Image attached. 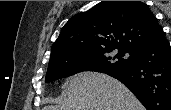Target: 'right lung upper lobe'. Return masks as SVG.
I'll return each instance as SVG.
<instances>
[{
    "label": "right lung upper lobe",
    "mask_w": 171,
    "mask_h": 110,
    "mask_svg": "<svg viewBox=\"0 0 171 110\" xmlns=\"http://www.w3.org/2000/svg\"><path fill=\"white\" fill-rule=\"evenodd\" d=\"M163 38L161 26L143 2L102 1L65 24L52 45L50 61L57 56L110 48L135 52Z\"/></svg>",
    "instance_id": "obj_1"
}]
</instances>
